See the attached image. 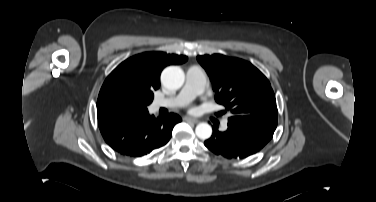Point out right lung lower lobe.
<instances>
[{
    "mask_svg": "<svg viewBox=\"0 0 376 202\" xmlns=\"http://www.w3.org/2000/svg\"><path fill=\"white\" fill-rule=\"evenodd\" d=\"M180 121L174 113L155 119L146 112L99 128L106 143L115 151L140 157L165 145L172 136L173 127Z\"/></svg>",
    "mask_w": 376,
    "mask_h": 202,
    "instance_id": "obj_1",
    "label": "right lung lower lobe"
}]
</instances>
